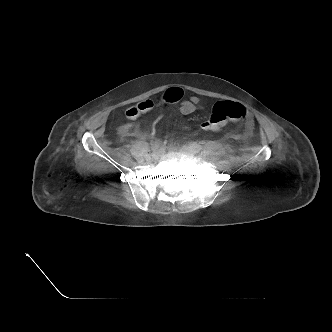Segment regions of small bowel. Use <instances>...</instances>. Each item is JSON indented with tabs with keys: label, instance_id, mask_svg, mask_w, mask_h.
Listing matches in <instances>:
<instances>
[{
	"label": "small bowel",
	"instance_id": "c3829d8e",
	"mask_svg": "<svg viewBox=\"0 0 332 332\" xmlns=\"http://www.w3.org/2000/svg\"><path fill=\"white\" fill-rule=\"evenodd\" d=\"M171 90L178 91L180 93L179 99L182 98L183 92L181 89L173 88ZM201 108L202 107L200 104V98L196 95H191L189 98L181 100L179 109H180L181 114L190 115ZM253 129H254L253 121L250 118V116H248V120L242 129L241 136L247 137L248 135H250L252 133Z\"/></svg>",
	"mask_w": 332,
	"mask_h": 332
}]
</instances>
